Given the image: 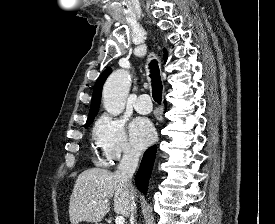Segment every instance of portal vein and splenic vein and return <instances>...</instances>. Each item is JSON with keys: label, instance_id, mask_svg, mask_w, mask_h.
Returning <instances> with one entry per match:
<instances>
[{"label": "portal vein and splenic vein", "instance_id": "portal-vein-and-splenic-vein-1", "mask_svg": "<svg viewBox=\"0 0 275 224\" xmlns=\"http://www.w3.org/2000/svg\"><path fill=\"white\" fill-rule=\"evenodd\" d=\"M107 202V201H106ZM116 224H124L125 223V218L123 216H118L115 219Z\"/></svg>", "mask_w": 275, "mask_h": 224}]
</instances>
